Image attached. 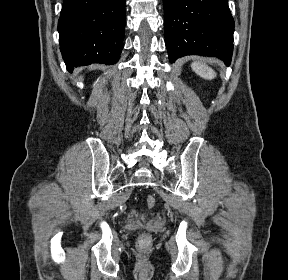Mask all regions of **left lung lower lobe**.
<instances>
[{
    "label": "left lung lower lobe",
    "mask_w": 288,
    "mask_h": 280,
    "mask_svg": "<svg viewBox=\"0 0 288 280\" xmlns=\"http://www.w3.org/2000/svg\"><path fill=\"white\" fill-rule=\"evenodd\" d=\"M170 62L186 55L217 57L226 65L233 51L234 20L228 0H163Z\"/></svg>",
    "instance_id": "obj_1"
}]
</instances>
